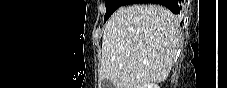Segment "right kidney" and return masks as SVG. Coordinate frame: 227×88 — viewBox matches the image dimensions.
Listing matches in <instances>:
<instances>
[{
    "mask_svg": "<svg viewBox=\"0 0 227 88\" xmlns=\"http://www.w3.org/2000/svg\"><path fill=\"white\" fill-rule=\"evenodd\" d=\"M141 88H160V87L158 86V84L155 83H147L143 85Z\"/></svg>",
    "mask_w": 227,
    "mask_h": 88,
    "instance_id": "ca27d5eb",
    "label": "right kidney"
}]
</instances>
